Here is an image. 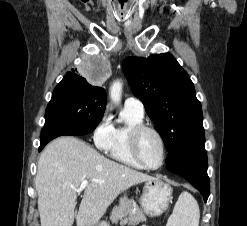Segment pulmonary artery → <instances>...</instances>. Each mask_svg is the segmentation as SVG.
Returning a JSON list of instances; mask_svg holds the SVG:
<instances>
[{
  "instance_id": "pulmonary-artery-1",
  "label": "pulmonary artery",
  "mask_w": 247,
  "mask_h": 226,
  "mask_svg": "<svg viewBox=\"0 0 247 226\" xmlns=\"http://www.w3.org/2000/svg\"><path fill=\"white\" fill-rule=\"evenodd\" d=\"M125 107H128V108H131L139 113H144V105L143 103L141 102V100H139L138 98L136 97H128L126 100H125V103H124Z\"/></svg>"
}]
</instances>
